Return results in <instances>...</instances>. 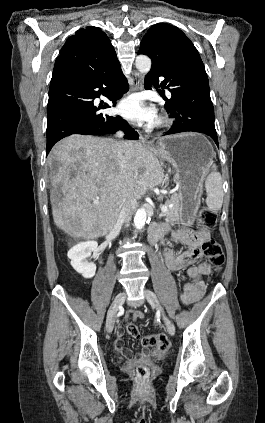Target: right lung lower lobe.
<instances>
[{
    "mask_svg": "<svg viewBox=\"0 0 265 423\" xmlns=\"http://www.w3.org/2000/svg\"><path fill=\"white\" fill-rule=\"evenodd\" d=\"M128 91V83L121 67L104 74L57 82L50 85L47 105V147L72 134L103 135L117 130L125 132L124 138L137 140L138 133L119 116L98 113L109 105H94L93 99L100 94L112 100L113 105Z\"/></svg>",
    "mask_w": 265,
    "mask_h": 423,
    "instance_id": "1",
    "label": "right lung lower lobe"
}]
</instances>
